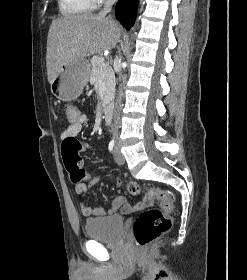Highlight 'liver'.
I'll return each instance as SVG.
<instances>
[{"instance_id": "obj_1", "label": "liver", "mask_w": 247, "mask_h": 280, "mask_svg": "<svg viewBox=\"0 0 247 280\" xmlns=\"http://www.w3.org/2000/svg\"><path fill=\"white\" fill-rule=\"evenodd\" d=\"M120 24L105 15L80 14L54 20L47 38L46 67L51 84L61 67L76 58L101 54L118 43Z\"/></svg>"}]
</instances>
